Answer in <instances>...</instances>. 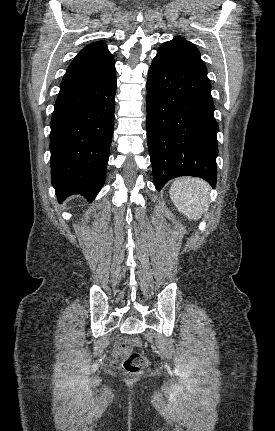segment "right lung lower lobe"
<instances>
[{
  "mask_svg": "<svg viewBox=\"0 0 275 431\" xmlns=\"http://www.w3.org/2000/svg\"><path fill=\"white\" fill-rule=\"evenodd\" d=\"M116 71L61 87L51 119V180L59 201L101 190L113 136Z\"/></svg>",
  "mask_w": 275,
  "mask_h": 431,
  "instance_id": "98d812e1",
  "label": "right lung lower lobe"
}]
</instances>
